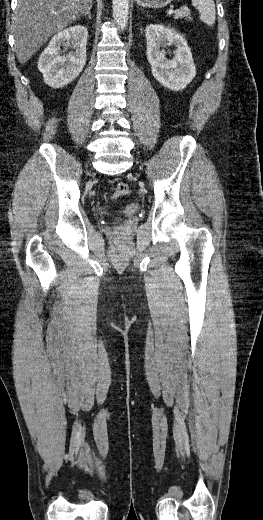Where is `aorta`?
Returning <instances> with one entry per match:
<instances>
[{
	"mask_svg": "<svg viewBox=\"0 0 263 520\" xmlns=\"http://www.w3.org/2000/svg\"><path fill=\"white\" fill-rule=\"evenodd\" d=\"M113 18L119 29L124 30L128 23L129 0H113Z\"/></svg>",
	"mask_w": 263,
	"mask_h": 520,
	"instance_id": "aorta-1",
	"label": "aorta"
}]
</instances>
